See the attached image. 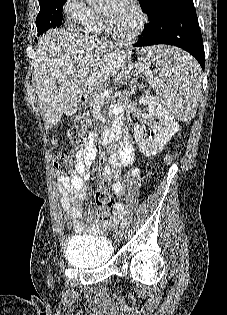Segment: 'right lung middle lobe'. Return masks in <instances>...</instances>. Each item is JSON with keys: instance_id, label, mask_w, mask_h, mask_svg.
<instances>
[{"instance_id": "obj_1", "label": "right lung middle lobe", "mask_w": 227, "mask_h": 315, "mask_svg": "<svg viewBox=\"0 0 227 315\" xmlns=\"http://www.w3.org/2000/svg\"><path fill=\"white\" fill-rule=\"evenodd\" d=\"M67 0L39 1L40 12L36 18L38 36L50 28L60 27L62 24L63 5Z\"/></svg>"}]
</instances>
